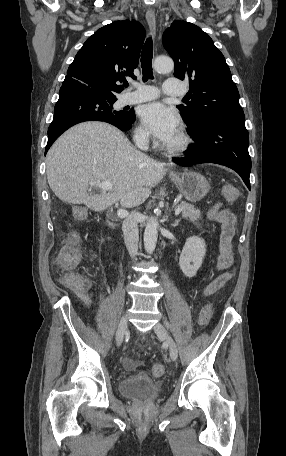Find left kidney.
<instances>
[{"label": "left kidney", "instance_id": "1", "mask_svg": "<svg viewBox=\"0 0 286 456\" xmlns=\"http://www.w3.org/2000/svg\"><path fill=\"white\" fill-rule=\"evenodd\" d=\"M206 254L205 241L197 236L189 237L179 257L180 269L186 277H194Z\"/></svg>", "mask_w": 286, "mask_h": 456}]
</instances>
